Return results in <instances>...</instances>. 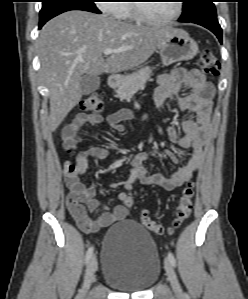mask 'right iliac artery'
<instances>
[{"instance_id":"1","label":"right iliac artery","mask_w":248,"mask_h":299,"mask_svg":"<svg viewBox=\"0 0 248 299\" xmlns=\"http://www.w3.org/2000/svg\"><path fill=\"white\" fill-rule=\"evenodd\" d=\"M93 250H94L93 247H90V248L87 250L86 257H85V262H86V264H88L89 260L91 259L92 255H93Z\"/></svg>"}]
</instances>
